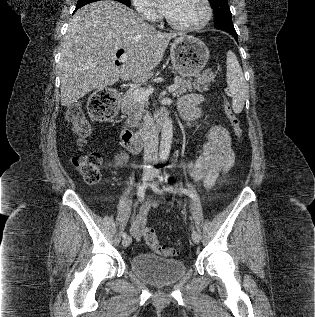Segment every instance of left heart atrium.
<instances>
[{"instance_id": "1", "label": "left heart atrium", "mask_w": 315, "mask_h": 317, "mask_svg": "<svg viewBox=\"0 0 315 317\" xmlns=\"http://www.w3.org/2000/svg\"><path fill=\"white\" fill-rule=\"evenodd\" d=\"M169 7H170L169 4L166 2L162 7L163 12L167 14Z\"/></svg>"}]
</instances>
